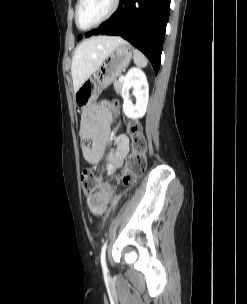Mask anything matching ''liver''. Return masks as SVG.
<instances>
[{
  "label": "liver",
  "mask_w": 247,
  "mask_h": 304,
  "mask_svg": "<svg viewBox=\"0 0 247 304\" xmlns=\"http://www.w3.org/2000/svg\"><path fill=\"white\" fill-rule=\"evenodd\" d=\"M126 43L119 37L97 36L81 42L74 51L71 74L76 92L98 69L106 57L121 44Z\"/></svg>",
  "instance_id": "liver-1"
}]
</instances>
